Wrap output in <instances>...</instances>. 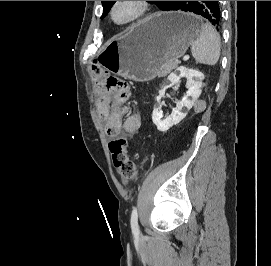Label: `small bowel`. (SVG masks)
Returning <instances> with one entry per match:
<instances>
[{"label": "small bowel", "instance_id": "obj_1", "mask_svg": "<svg viewBox=\"0 0 271 266\" xmlns=\"http://www.w3.org/2000/svg\"><path fill=\"white\" fill-rule=\"evenodd\" d=\"M127 99L128 97L120 98L98 90L96 107L100 119L105 122L107 136L114 137L122 130L133 135L140 129L141 115L129 111Z\"/></svg>", "mask_w": 271, "mask_h": 266}]
</instances>
